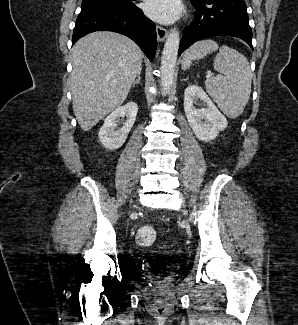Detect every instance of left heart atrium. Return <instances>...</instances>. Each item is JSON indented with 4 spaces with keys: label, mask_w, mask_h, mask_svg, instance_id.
<instances>
[{
    "label": "left heart atrium",
    "mask_w": 298,
    "mask_h": 325,
    "mask_svg": "<svg viewBox=\"0 0 298 325\" xmlns=\"http://www.w3.org/2000/svg\"><path fill=\"white\" fill-rule=\"evenodd\" d=\"M145 11L158 22L170 23L180 16L182 9L178 0H148Z\"/></svg>",
    "instance_id": "left-heart-atrium-1"
}]
</instances>
